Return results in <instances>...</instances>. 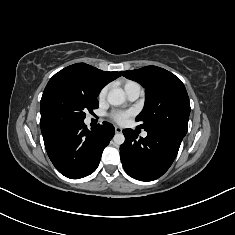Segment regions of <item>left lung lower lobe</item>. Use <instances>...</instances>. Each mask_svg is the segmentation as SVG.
Segmentation results:
<instances>
[{"instance_id": "0a47b994", "label": "left lung lower lobe", "mask_w": 235, "mask_h": 235, "mask_svg": "<svg viewBox=\"0 0 235 235\" xmlns=\"http://www.w3.org/2000/svg\"><path fill=\"white\" fill-rule=\"evenodd\" d=\"M125 142L120 157L126 173L142 181L161 177L177 156L181 141L179 134L169 131H147V137L137 140L133 130H123Z\"/></svg>"}]
</instances>
